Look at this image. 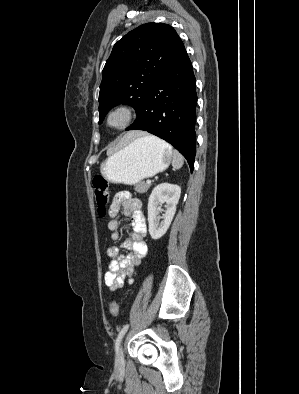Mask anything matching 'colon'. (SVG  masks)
I'll return each instance as SVG.
<instances>
[{
    "label": "colon",
    "mask_w": 299,
    "mask_h": 394,
    "mask_svg": "<svg viewBox=\"0 0 299 394\" xmlns=\"http://www.w3.org/2000/svg\"><path fill=\"white\" fill-rule=\"evenodd\" d=\"M92 185L98 207V214L103 217L106 215V208L110 200L109 181L104 175L97 174L92 180ZM109 311L114 317L118 315L119 307L116 301L110 303Z\"/></svg>",
    "instance_id": "obj_1"
}]
</instances>
